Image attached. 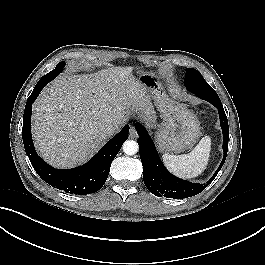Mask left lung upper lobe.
Listing matches in <instances>:
<instances>
[{
	"label": "left lung upper lobe",
	"mask_w": 265,
	"mask_h": 265,
	"mask_svg": "<svg viewBox=\"0 0 265 265\" xmlns=\"http://www.w3.org/2000/svg\"><path fill=\"white\" fill-rule=\"evenodd\" d=\"M206 81L204 80L203 76L195 69L187 68L186 69V78L184 80V85L190 83H202Z\"/></svg>",
	"instance_id": "5c2ea615"
}]
</instances>
